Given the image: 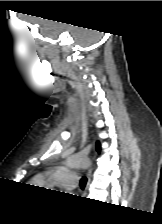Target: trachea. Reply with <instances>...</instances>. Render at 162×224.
<instances>
[{
    "label": "trachea",
    "instance_id": "obj_1",
    "mask_svg": "<svg viewBox=\"0 0 162 224\" xmlns=\"http://www.w3.org/2000/svg\"><path fill=\"white\" fill-rule=\"evenodd\" d=\"M86 183H87V179H86V177H83V178L80 180V186H81L82 189L85 188Z\"/></svg>",
    "mask_w": 162,
    "mask_h": 224
}]
</instances>
